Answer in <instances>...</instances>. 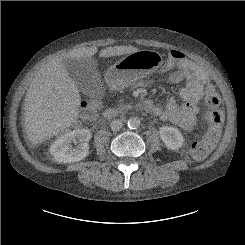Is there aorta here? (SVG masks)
<instances>
[{
	"label": "aorta",
	"instance_id": "1",
	"mask_svg": "<svg viewBox=\"0 0 245 245\" xmlns=\"http://www.w3.org/2000/svg\"><path fill=\"white\" fill-rule=\"evenodd\" d=\"M128 127L131 128V129H136L140 126V120L136 117H131L129 120H128Z\"/></svg>",
	"mask_w": 245,
	"mask_h": 245
}]
</instances>
